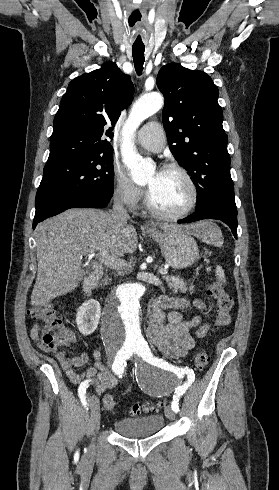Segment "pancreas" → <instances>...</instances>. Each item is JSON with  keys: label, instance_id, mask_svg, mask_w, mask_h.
<instances>
[{"label": "pancreas", "instance_id": "pancreas-1", "mask_svg": "<svg viewBox=\"0 0 279 490\" xmlns=\"http://www.w3.org/2000/svg\"><path fill=\"white\" fill-rule=\"evenodd\" d=\"M128 266H119V268H114V270H127ZM165 282H167L169 288L173 290V292H177V290H193L194 286H189L187 288L186 282H183L179 276H166V274H162Z\"/></svg>", "mask_w": 279, "mask_h": 490}]
</instances>
